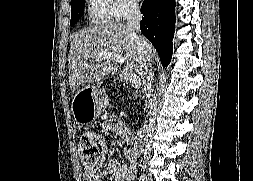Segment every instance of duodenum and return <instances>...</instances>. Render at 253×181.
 Segmentation results:
<instances>
[{"label":"duodenum","mask_w":253,"mask_h":181,"mask_svg":"<svg viewBox=\"0 0 253 181\" xmlns=\"http://www.w3.org/2000/svg\"><path fill=\"white\" fill-rule=\"evenodd\" d=\"M146 132H147V130H146V129H145V130H143V131H142V135H144Z\"/></svg>","instance_id":"1"}]
</instances>
